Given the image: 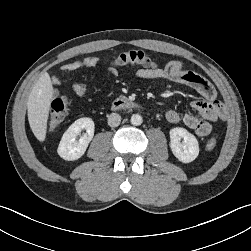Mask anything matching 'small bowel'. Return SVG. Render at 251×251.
<instances>
[{
  "mask_svg": "<svg viewBox=\"0 0 251 251\" xmlns=\"http://www.w3.org/2000/svg\"><path fill=\"white\" fill-rule=\"evenodd\" d=\"M98 63L96 57H86L82 60L67 63L61 67V71L68 73L82 67H94ZM136 76L143 80L167 79L180 83L194 89L203 97V100L195 101L191 104L196 113H186L181 115L176 110H168L165 117L170 123L182 122L187 128L193 130L198 136L204 137L212 131V124L225 116L221 103L217 100V93L212 84L196 72L185 68L182 62L173 60L164 67H143L136 71ZM60 76L53 77V84L59 85ZM73 91L78 96L88 93L89 87L85 83L73 85ZM58 91L55 90V95Z\"/></svg>",
  "mask_w": 251,
  "mask_h": 251,
  "instance_id": "c3829d8e",
  "label": "small bowel"
}]
</instances>
